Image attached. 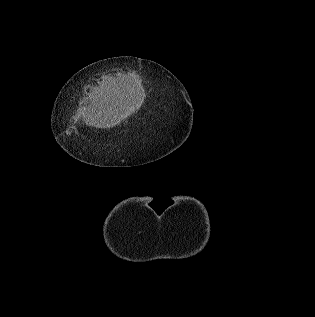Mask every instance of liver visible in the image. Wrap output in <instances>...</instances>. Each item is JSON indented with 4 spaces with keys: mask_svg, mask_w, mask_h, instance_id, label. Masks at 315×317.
Wrapping results in <instances>:
<instances>
[{
    "mask_svg": "<svg viewBox=\"0 0 315 317\" xmlns=\"http://www.w3.org/2000/svg\"><path fill=\"white\" fill-rule=\"evenodd\" d=\"M126 97L128 96H124V88L110 91L103 85L100 89H94L85 115L86 121L96 128H111L118 125L134 110L131 98Z\"/></svg>",
    "mask_w": 315,
    "mask_h": 317,
    "instance_id": "6515ba94",
    "label": "liver"
}]
</instances>
